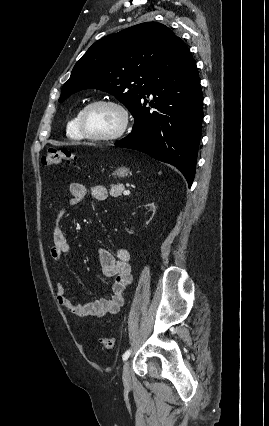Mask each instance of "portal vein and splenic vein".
Wrapping results in <instances>:
<instances>
[{"label": "portal vein and splenic vein", "instance_id": "1", "mask_svg": "<svg viewBox=\"0 0 269 426\" xmlns=\"http://www.w3.org/2000/svg\"><path fill=\"white\" fill-rule=\"evenodd\" d=\"M123 194H124V195H129V194H130V191H129V190H125V191L123 192Z\"/></svg>", "mask_w": 269, "mask_h": 426}]
</instances>
